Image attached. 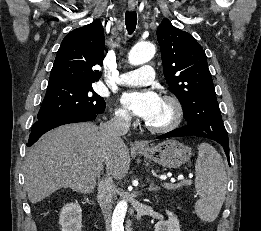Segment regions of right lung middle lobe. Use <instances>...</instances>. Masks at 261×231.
Here are the masks:
<instances>
[{"label": "right lung middle lobe", "instance_id": "dd1d6c3e", "mask_svg": "<svg viewBox=\"0 0 261 231\" xmlns=\"http://www.w3.org/2000/svg\"><path fill=\"white\" fill-rule=\"evenodd\" d=\"M105 101L96 94L92 85L48 88L38 121L73 112H103Z\"/></svg>", "mask_w": 261, "mask_h": 231}]
</instances>
